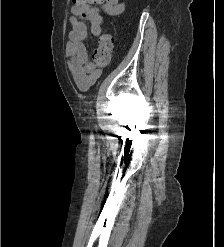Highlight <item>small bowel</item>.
<instances>
[{"label": "small bowel", "mask_w": 224, "mask_h": 247, "mask_svg": "<svg viewBox=\"0 0 224 247\" xmlns=\"http://www.w3.org/2000/svg\"><path fill=\"white\" fill-rule=\"evenodd\" d=\"M71 9L69 22L72 29L68 35L66 54L69 71L76 86L86 91L99 78L101 71L89 60L84 40L89 32L98 36L101 33L102 13L117 16L124 12L125 4L120 0H81ZM100 6V8L96 7Z\"/></svg>", "instance_id": "1"}]
</instances>
